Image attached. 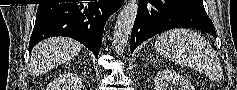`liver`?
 I'll return each mask as SVG.
<instances>
[{
  "label": "liver",
  "mask_w": 237,
  "mask_h": 90,
  "mask_svg": "<svg viewBox=\"0 0 237 90\" xmlns=\"http://www.w3.org/2000/svg\"><path fill=\"white\" fill-rule=\"evenodd\" d=\"M83 46L72 38H47L33 48L30 56V68L33 74L47 72L63 62L78 56Z\"/></svg>",
  "instance_id": "6515ba94"
}]
</instances>
